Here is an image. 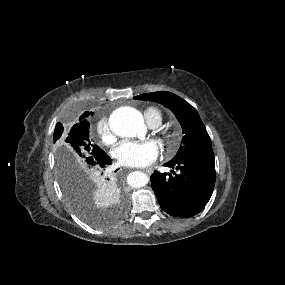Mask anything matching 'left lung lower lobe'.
<instances>
[{
	"label": "left lung lower lobe",
	"instance_id": "0a47b994",
	"mask_svg": "<svg viewBox=\"0 0 285 285\" xmlns=\"http://www.w3.org/2000/svg\"><path fill=\"white\" fill-rule=\"evenodd\" d=\"M164 166L178 173L154 171L150 180L161 208L172 216L191 217L208 203L215 185L214 155H199Z\"/></svg>",
	"mask_w": 285,
	"mask_h": 285
}]
</instances>
